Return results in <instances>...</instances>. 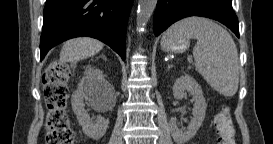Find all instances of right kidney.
<instances>
[{
	"mask_svg": "<svg viewBox=\"0 0 273 144\" xmlns=\"http://www.w3.org/2000/svg\"><path fill=\"white\" fill-rule=\"evenodd\" d=\"M108 93H113V87L104 79L102 70L90 68L72 95V109L77 116L78 123L82 126L84 134L94 140L100 139L105 134L108 122L103 117H97L93 121L84 109V98H88L94 105Z\"/></svg>",
	"mask_w": 273,
	"mask_h": 144,
	"instance_id": "1",
	"label": "right kidney"
}]
</instances>
